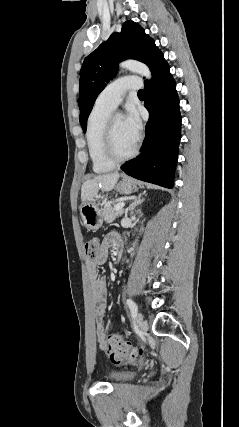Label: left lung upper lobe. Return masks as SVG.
<instances>
[{"mask_svg":"<svg viewBox=\"0 0 239 427\" xmlns=\"http://www.w3.org/2000/svg\"><path fill=\"white\" fill-rule=\"evenodd\" d=\"M128 58L147 64L152 75L166 62L153 39L145 34L141 26L131 20L126 21L120 33H113L83 62L78 105L84 132L97 96L116 75L118 63Z\"/></svg>","mask_w":239,"mask_h":427,"instance_id":"obj_1","label":"left lung upper lobe"}]
</instances>
